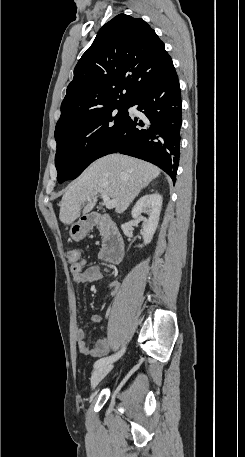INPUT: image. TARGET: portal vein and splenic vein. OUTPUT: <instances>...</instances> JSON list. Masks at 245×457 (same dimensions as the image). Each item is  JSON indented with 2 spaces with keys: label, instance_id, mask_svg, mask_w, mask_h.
Here are the masks:
<instances>
[{
  "label": "portal vein and splenic vein",
  "instance_id": "1",
  "mask_svg": "<svg viewBox=\"0 0 245 457\" xmlns=\"http://www.w3.org/2000/svg\"><path fill=\"white\" fill-rule=\"evenodd\" d=\"M101 196L105 202L106 208H114V206H116V198H110V196H108V194H105V192H101ZM87 200H91V198H87Z\"/></svg>",
  "mask_w": 245,
  "mask_h": 457
}]
</instances>
